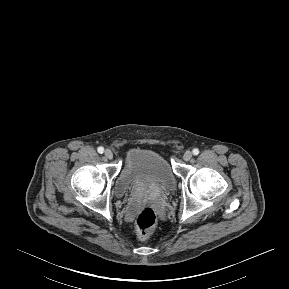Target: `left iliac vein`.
<instances>
[{
    "mask_svg": "<svg viewBox=\"0 0 289 289\" xmlns=\"http://www.w3.org/2000/svg\"><path fill=\"white\" fill-rule=\"evenodd\" d=\"M192 158V152L191 151H186L183 155V159L185 161H189Z\"/></svg>",
    "mask_w": 289,
    "mask_h": 289,
    "instance_id": "4c4485c4",
    "label": "left iliac vein"
}]
</instances>
